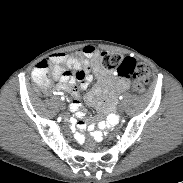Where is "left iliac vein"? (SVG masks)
Masks as SVG:
<instances>
[{
    "label": "left iliac vein",
    "instance_id": "obj_1",
    "mask_svg": "<svg viewBox=\"0 0 183 183\" xmlns=\"http://www.w3.org/2000/svg\"><path fill=\"white\" fill-rule=\"evenodd\" d=\"M118 110H119L120 112L123 110L122 105H119V106H118Z\"/></svg>",
    "mask_w": 183,
    "mask_h": 183
}]
</instances>
